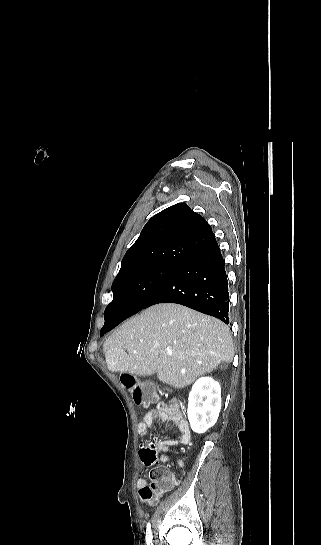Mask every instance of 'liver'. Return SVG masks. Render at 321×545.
Wrapping results in <instances>:
<instances>
[{
  "mask_svg": "<svg viewBox=\"0 0 321 545\" xmlns=\"http://www.w3.org/2000/svg\"><path fill=\"white\" fill-rule=\"evenodd\" d=\"M103 353L112 373H157L162 383L184 389L222 363H232L234 345L229 327L219 319L160 303L114 331L104 341Z\"/></svg>",
  "mask_w": 321,
  "mask_h": 545,
  "instance_id": "6515ba94",
  "label": "liver"
}]
</instances>
